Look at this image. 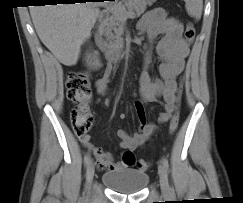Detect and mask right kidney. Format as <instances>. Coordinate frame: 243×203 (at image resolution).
Returning a JSON list of instances; mask_svg holds the SVG:
<instances>
[{
    "mask_svg": "<svg viewBox=\"0 0 243 203\" xmlns=\"http://www.w3.org/2000/svg\"><path fill=\"white\" fill-rule=\"evenodd\" d=\"M91 67L96 68L97 65H96L95 63H92V64H91Z\"/></svg>",
    "mask_w": 243,
    "mask_h": 203,
    "instance_id": "right-kidney-1",
    "label": "right kidney"
}]
</instances>
